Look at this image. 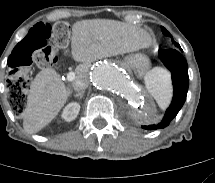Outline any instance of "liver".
<instances>
[{
	"label": "liver",
	"mask_w": 215,
	"mask_h": 183,
	"mask_svg": "<svg viewBox=\"0 0 215 183\" xmlns=\"http://www.w3.org/2000/svg\"><path fill=\"white\" fill-rule=\"evenodd\" d=\"M71 40V56L83 62L76 68V79L86 76L91 62L148 48L152 42L151 36L144 29L109 19L74 23ZM70 93L54 69L40 71L28 92L23 118L25 131L34 134L47 126L65 105Z\"/></svg>",
	"instance_id": "1"
}]
</instances>
